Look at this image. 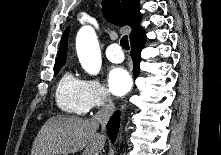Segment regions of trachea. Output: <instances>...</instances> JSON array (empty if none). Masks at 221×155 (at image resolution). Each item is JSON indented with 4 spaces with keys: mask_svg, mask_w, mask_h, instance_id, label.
I'll list each match as a JSON object with an SVG mask.
<instances>
[{
    "mask_svg": "<svg viewBox=\"0 0 221 155\" xmlns=\"http://www.w3.org/2000/svg\"><path fill=\"white\" fill-rule=\"evenodd\" d=\"M121 47L125 50H129V42L127 35L123 36L120 41Z\"/></svg>",
    "mask_w": 221,
    "mask_h": 155,
    "instance_id": "obj_1",
    "label": "trachea"
}]
</instances>
